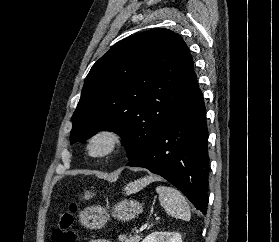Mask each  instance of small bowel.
<instances>
[{
	"mask_svg": "<svg viewBox=\"0 0 279 242\" xmlns=\"http://www.w3.org/2000/svg\"><path fill=\"white\" fill-rule=\"evenodd\" d=\"M90 242H111V241L106 240V239H95V240H92Z\"/></svg>",
	"mask_w": 279,
	"mask_h": 242,
	"instance_id": "obj_1",
	"label": "small bowel"
}]
</instances>
